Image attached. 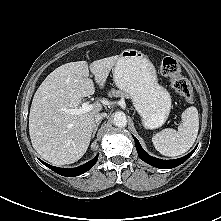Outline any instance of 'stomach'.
Listing matches in <instances>:
<instances>
[{"instance_id": "stomach-1", "label": "stomach", "mask_w": 221, "mask_h": 221, "mask_svg": "<svg viewBox=\"0 0 221 221\" xmlns=\"http://www.w3.org/2000/svg\"><path fill=\"white\" fill-rule=\"evenodd\" d=\"M113 80L132 99L145 128L156 129L165 123L171 96L159 85L154 65L141 51H122L113 69Z\"/></svg>"}]
</instances>
